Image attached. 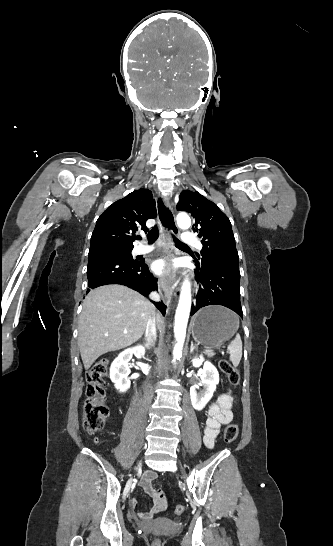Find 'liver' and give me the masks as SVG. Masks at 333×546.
I'll return each mask as SVG.
<instances>
[{"label":"liver","mask_w":333,"mask_h":546,"mask_svg":"<svg viewBox=\"0 0 333 546\" xmlns=\"http://www.w3.org/2000/svg\"><path fill=\"white\" fill-rule=\"evenodd\" d=\"M155 313L153 305L123 285H105L89 292L79 317L78 345L86 370L101 355L138 341Z\"/></svg>","instance_id":"liver-1"}]
</instances>
